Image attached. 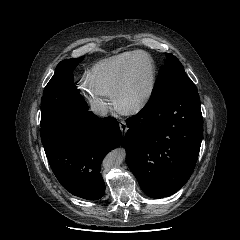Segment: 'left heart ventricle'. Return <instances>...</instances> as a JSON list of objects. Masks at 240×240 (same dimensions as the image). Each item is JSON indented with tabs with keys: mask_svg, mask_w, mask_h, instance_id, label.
I'll use <instances>...</instances> for the list:
<instances>
[{
	"mask_svg": "<svg viewBox=\"0 0 240 240\" xmlns=\"http://www.w3.org/2000/svg\"><path fill=\"white\" fill-rule=\"evenodd\" d=\"M149 83V76L146 69L135 67L129 77L128 87L123 96L124 103H131L139 98L147 90Z\"/></svg>",
	"mask_w": 240,
	"mask_h": 240,
	"instance_id": "left-heart-ventricle-1",
	"label": "left heart ventricle"
}]
</instances>
